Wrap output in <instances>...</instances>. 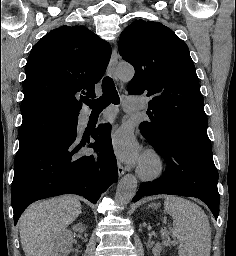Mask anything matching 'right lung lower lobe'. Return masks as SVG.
Returning a JSON list of instances; mask_svg holds the SVG:
<instances>
[{"instance_id": "obj_1", "label": "right lung lower lobe", "mask_w": 236, "mask_h": 256, "mask_svg": "<svg viewBox=\"0 0 236 256\" xmlns=\"http://www.w3.org/2000/svg\"><path fill=\"white\" fill-rule=\"evenodd\" d=\"M110 129V124H100L91 135L94 143L83 140L78 144L76 129L55 133L19 149L11 190L14 224L32 202L48 197L77 194L96 204L118 180ZM85 145L94 153L84 149Z\"/></svg>"}]
</instances>
